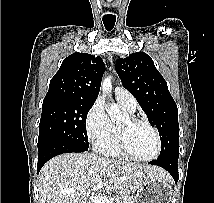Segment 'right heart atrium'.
<instances>
[{"label": "right heart atrium", "mask_w": 214, "mask_h": 203, "mask_svg": "<svg viewBox=\"0 0 214 203\" xmlns=\"http://www.w3.org/2000/svg\"><path fill=\"white\" fill-rule=\"evenodd\" d=\"M84 123L87 137L95 146L105 141L111 135L112 121L107 115L101 99H97L90 107Z\"/></svg>", "instance_id": "right-heart-atrium-1"}]
</instances>
